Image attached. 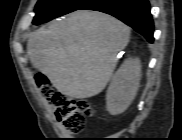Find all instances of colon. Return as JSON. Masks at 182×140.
Segmentation results:
<instances>
[{
	"instance_id": "obj_1",
	"label": "colon",
	"mask_w": 182,
	"mask_h": 140,
	"mask_svg": "<svg viewBox=\"0 0 182 140\" xmlns=\"http://www.w3.org/2000/svg\"><path fill=\"white\" fill-rule=\"evenodd\" d=\"M35 80L39 91L52 104L55 115L64 128L72 133L80 132L84 128L85 118L92 114L90 104L85 100L71 101L64 97L42 74L36 75Z\"/></svg>"
}]
</instances>
